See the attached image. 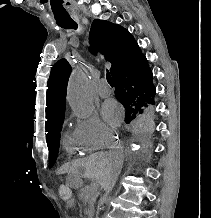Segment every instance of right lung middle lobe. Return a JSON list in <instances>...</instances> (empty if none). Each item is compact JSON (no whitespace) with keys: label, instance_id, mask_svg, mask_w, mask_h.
Segmentation results:
<instances>
[{"label":"right lung middle lobe","instance_id":"dd1d6c3e","mask_svg":"<svg viewBox=\"0 0 211 218\" xmlns=\"http://www.w3.org/2000/svg\"><path fill=\"white\" fill-rule=\"evenodd\" d=\"M117 99L122 103L125 108V121L127 123H129L132 119H135L138 114L151 111L155 105V103H145L142 100L133 97H123ZM63 119L64 117L58 120L53 126L50 133L46 135L47 145L49 149V168L54 165L57 158L60 143V131L62 129Z\"/></svg>","mask_w":211,"mask_h":218}]
</instances>
